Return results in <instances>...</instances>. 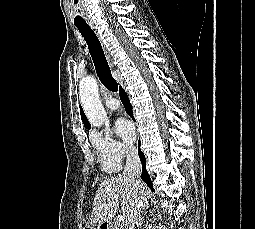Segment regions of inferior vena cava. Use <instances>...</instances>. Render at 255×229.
<instances>
[{
    "instance_id": "1",
    "label": "inferior vena cava",
    "mask_w": 255,
    "mask_h": 229,
    "mask_svg": "<svg viewBox=\"0 0 255 229\" xmlns=\"http://www.w3.org/2000/svg\"><path fill=\"white\" fill-rule=\"evenodd\" d=\"M126 165L123 171V176L133 184L134 194L131 203L130 214L127 220V229H134L138 223V216L143 208L145 194L140 185V175L142 172V164L138 155V150L129 146L125 148Z\"/></svg>"
}]
</instances>
